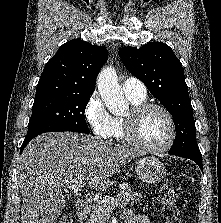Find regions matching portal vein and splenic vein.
Here are the masks:
<instances>
[{
  "instance_id": "18ae733b",
  "label": "portal vein and splenic vein",
  "mask_w": 221,
  "mask_h": 223,
  "mask_svg": "<svg viewBox=\"0 0 221 223\" xmlns=\"http://www.w3.org/2000/svg\"><path fill=\"white\" fill-rule=\"evenodd\" d=\"M85 184H86L85 181H80V182H77L76 184H72L69 182L66 183L67 188L72 189L74 191H80L81 188H83ZM118 203H119V199L114 200L113 206L118 205Z\"/></svg>"
}]
</instances>
